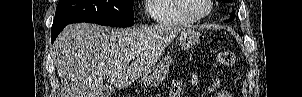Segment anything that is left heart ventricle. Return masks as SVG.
I'll list each match as a JSON object with an SVG mask.
<instances>
[{
  "mask_svg": "<svg viewBox=\"0 0 302 97\" xmlns=\"http://www.w3.org/2000/svg\"><path fill=\"white\" fill-rule=\"evenodd\" d=\"M184 5L193 15H202L207 10L206 0H184Z\"/></svg>",
  "mask_w": 302,
  "mask_h": 97,
  "instance_id": "obj_1",
  "label": "left heart ventricle"
}]
</instances>
